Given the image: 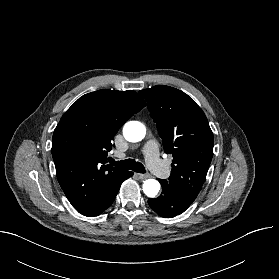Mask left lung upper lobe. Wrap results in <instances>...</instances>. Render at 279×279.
<instances>
[{
    "label": "left lung upper lobe",
    "instance_id": "left-lung-upper-lobe-1",
    "mask_svg": "<svg viewBox=\"0 0 279 279\" xmlns=\"http://www.w3.org/2000/svg\"><path fill=\"white\" fill-rule=\"evenodd\" d=\"M150 115L162 138L164 151L173 155L168 183L198 195L213 156L214 138L202 109L184 92L164 85L144 89Z\"/></svg>",
    "mask_w": 279,
    "mask_h": 279
}]
</instances>
